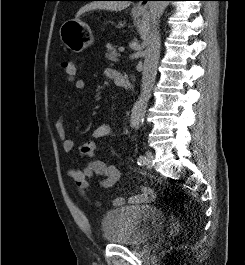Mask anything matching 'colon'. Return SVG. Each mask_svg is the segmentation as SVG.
I'll return each instance as SVG.
<instances>
[{"instance_id":"5ec220e1","label":"colon","mask_w":245,"mask_h":265,"mask_svg":"<svg viewBox=\"0 0 245 265\" xmlns=\"http://www.w3.org/2000/svg\"><path fill=\"white\" fill-rule=\"evenodd\" d=\"M61 67L68 80H74L77 77L78 69L76 64L71 60H65ZM96 146L92 141L83 142L80 146V153L85 157H92L95 153Z\"/></svg>"}]
</instances>
